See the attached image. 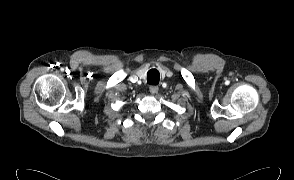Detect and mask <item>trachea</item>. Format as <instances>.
Returning <instances> with one entry per match:
<instances>
[{
  "label": "trachea",
  "instance_id": "trachea-1",
  "mask_svg": "<svg viewBox=\"0 0 294 180\" xmlns=\"http://www.w3.org/2000/svg\"><path fill=\"white\" fill-rule=\"evenodd\" d=\"M147 83L157 85L159 83V72L156 69H151L147 73Z\"/></svg>",
  "mask_w": 294,
  "mask_h": 180
}]
</instances>
